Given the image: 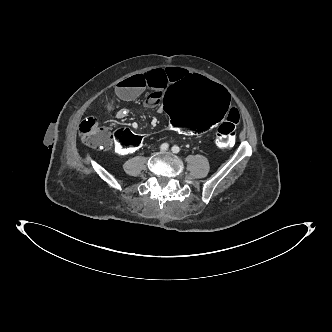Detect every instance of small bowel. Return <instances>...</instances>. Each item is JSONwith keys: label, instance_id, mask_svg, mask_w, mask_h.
I'll list each match as a JSON object with an SVG mask.
<instances>
[{"label": "small bowel", "instance_id": "1", "mask_svg": "<svg viewBox=\"0 0 332 332\" xmlns=\"http://www.w3.org/2000/svg\"><path fill=\"white\" fill-rule=\"evenodd\" d=\"M187 75H190V72L184 68L167 67L151 69L123 79L114 87L112 95L106 103V110L108 112L116 111L117 105L120 101L134 100L145 90H151L150 95L145 101V106L149 108L154 107L168 88ZM116 113L117 117L120 119L125 116L124 112L121 110ZM233 113L238 115L236 109H234ZM132 128L138 130L140 127L137 123H133ZM172 128L173 127L171 126L170 129ZM174 131L177 130L174 128Z\"/></svg>", "mask_w": 332, "mask_h": 332}]
</instances>
